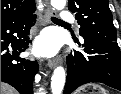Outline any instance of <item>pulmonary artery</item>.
I'll return each mask as SVG.
<instances>
[{
    "label": "pulmonary artery",
    "mask_w": 121,
    "mask_h": 94,
    "mask_svg": "<svg viewBox=\"0 0 121 94\" xmlns=\"http://www.w3.org/2000/svg\"><path fill=\"white\" fill-rule=\"evenodd\" d=\"M61 18L66 23L74 22V17L67 10L62 12Z\"/></svg>",
    "instance_id": "e3ab8cb5"
}]
</instances>
